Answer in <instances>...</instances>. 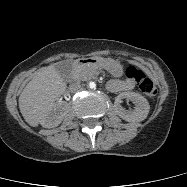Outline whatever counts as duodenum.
<instances>
[{
    "instance_id": "410a0bca",
    "label": "duodenum",
    "mask_w": 187,
    "mask_h": 187,
    "mask_svg": "<svg viewBox=\"0 0 187 187\" xmlns=\"http://www.w3.org/2000/svg\"><path fill=\"white\" fill-rule=\"evenodd\" d=\"M95 60L92 58H80L74 61L73 63V70L76 71L78 70L80 67L87 65L89 63L94 62Z\"/></svg>"
}]
</instances>
